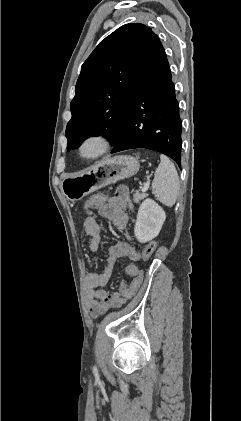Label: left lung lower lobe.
<instances>
[{
	"mask_svg": "<svg viewBox=\"0 0 241 421\" xmlns=\"http://www.w3.org/2000/svg\"><path fill=\"white\" fill-rule=\"evenodd\" d=\"M181 133L171 71L158 39L136 87L123 133L112 153L146 148L171 157L181 167Z\"/></svg>",
	"mask_w": 241,
	"mask_h": 421,
	"instance_id": "left-lung-lower-lobe-1",
	"label": "left lung lower lobe"
}]
</instances>
